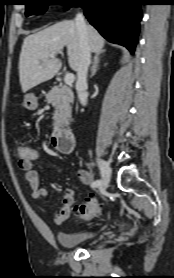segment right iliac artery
Segmentation results:
<instances>
[{
	"instance_id": "82829eb1",
	"label": "right iliac artery",
	"mask_w": 174,
	"mask_h": 278,
	"mask_svg": "<svg viewBox=\"0 0 174 278\" xmlns=\"http://www.w3.org/2000/svg\"><path fill=\"white\" fill-rule=\"evenodd\" d=\"M89 165H91V164H89ZM101 184H102L101 180H96L93 182L92 187L95 188V187L101 186Z\"/></svg>"
}]
</instances>
